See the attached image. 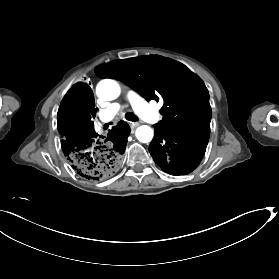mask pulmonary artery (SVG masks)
I'll list each match as a JSON object with an SVG mask.
<instances>
[{
  "label": "pulmonary artery",
  "mask_w": 279,
  "mask_h": 279,
  "mask_svg": "<svg viewBox=\"0 0 279 279\" xmlns=\"http://www.w3.org/2000/svg\"><path fill=\"white\" fill-rule=\"evenodd\" d=\"M109 109L113 114H120L123 110V107L121 104L117 103V102H113L109 105Z\"/></svg>",
  "instance_id": "1"
}]
</instances>
